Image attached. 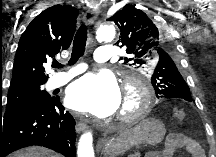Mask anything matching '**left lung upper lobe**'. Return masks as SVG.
<instances>
[{"label":"left lung upper lobe","mask_w":216,"mask_h":157,"mask_svg":"<svg viewBox=\"0 0 216 157\" xmlns=\"http://www.w3.org/2000/svg\"><path fill=\"white\" fill-rule=\"evenodd\" d=\"M119 28L117 46H125L129 65L153 69L151 84L156 96L163 100L180 99L191 102L190 89L181 74L175 39L167 35L158 19H150L142 10L127 4L109 18Z\"/></svg>","instance_id":"1"}]
</instances>
